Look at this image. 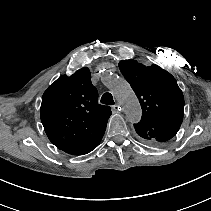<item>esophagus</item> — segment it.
I'll use <instances>...</instances> for the list:
<instances>
[{
  "label": "esophagus",
  "instance_id": "1",
  "mask_svg": "<svg viewBox=\"0 0 211 211\" xmlns=\"http://www.w3.org/2000/svg\"><path fill=\"white\" fill-rule=\"evenodd\" d=\"M112 108H113L114 111H121L122 110L121 106H119V105H114V106H112Z\"/></svg>",
  "mask_w": 211,
  "mask_h": 211
}]
</instances>
